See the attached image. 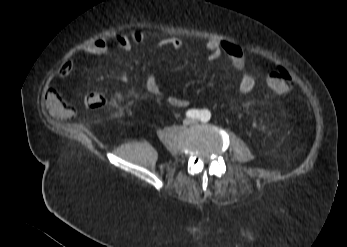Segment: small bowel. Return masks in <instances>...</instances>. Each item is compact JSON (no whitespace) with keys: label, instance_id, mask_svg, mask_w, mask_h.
<instances>
[{"label":"small bowel","instance_id":"small-bowel-1","mask_svg":"<svg viewBox=\"0 0 347 247\" xmlns=\"http://www.w3.org/2000/svg\"><path fill=\"white\" fill-rule=\"evenodd\" d=\"M113 40L122 50L129 51L133 47L143 46L147 41V35L140 30H132L129 34L117 32L113 36ZM155 45L157 48L179 50L183 47V42L178 37L169 36L158 39ZM205 47L208 51V59L210 61H217L226 56L230 60L232 68L236 72L241 73L238 81V90L240 93L247 94L255 88L256 80L254 76L249 73H243L246 65V58L240 46L228 41L210 39L206 42ZM81 52L87 55L105 56L109 53V45L107 40L99 38L84 44L81 48ZM72 71L73 63L67 61L59 68V75L61 77H66L70 75ZM144 88L152 95L159 96L161 94L160 83L153 75H149L146 78ZM45 102L47 108L55 117L69 119L75 115V109L70 104L62 101L52 88L49 89ZM167 102L170 106L175 108H183L189 104V100L177 96L169 97Z\"/></svg>","mask_w":347,"mask_h":247}]
</instances>
